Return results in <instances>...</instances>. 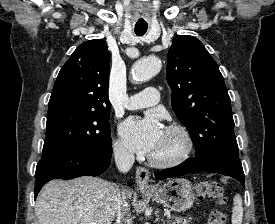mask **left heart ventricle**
Masks as SVG:
<instances>
[{"label":"left heart ventricle","mask_w":275,"mask_h":224,"mask_svg":"<svg viewBox=\"0 0 275 224\" xmlns=\"http://www.w3.org/2000/svg\"><path fill=\"white\" fill-rule=\"evenodd\" d=\"M180 149V142L172 134L164 130L162 140L157 149L151 154L156 158H167L175 155Z\"/></svg>","instance_id":"b2bd125f"}]
</instances>
